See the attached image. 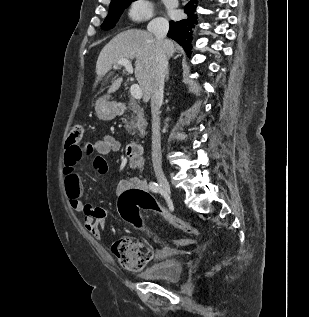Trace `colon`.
Wrapping results in <instances>:
<instances>
[{"instance_id":"5ec220e1","label":"colon","mask_w":309,"mask_h":317,"mask_svg":"<svg viewBox=\"0 0 309 317\" xmlns=\"http://www.w3.org/2000/svg\"><path fill=\"white\" fill-rule=\"evenodd\" d=\"M84 128L80 124H75L70 130L67 140V150L65 161L68 164L78 162L85 154L89 153V144H82ZM118 209L121 217L136 226L141 225L140 211L151 210L163 216L170 224L176 228L194 235H200L201 231L195 226L170 214L161 208L155 199L144 190L130 189L120 195ZM195 243L193 239L183 238L168 242L171 246H191ZM112 252L116 256L120 265L128 271L142 270L151 257V251L141 240L122 236L112 245Z\"/></svg>"}]
</instances>
